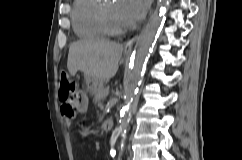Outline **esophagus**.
<instances>
[{
    "label": "esophagus",
    "instance_id": "34e87169",
    "mask_svg": "<svg viewBox=\"0 0 242 160\" xmlns=\"http://www.w3.org/2000/svg\"><path fill=\"white\" fill-rule=\"evenodd\" d=\"M137 35L133 36L132 38H130L125 44H124V51L126 53H129L132 51L133 45L136 41Z\"/></svg>",
    "mask_w": 242,
    "mask_h": 160
}]
</instances>
